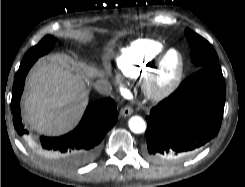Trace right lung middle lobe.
I'll return each instance as SVG.
<instances>
[{
    "label": "right lung middle lobe",
    "mask_w": 245,
    "mask_h": 187,
    "mask_svg": "<svg viewBox=\"0 0 245 187\" xmlns=\"http://www.w3.org/2000/svg\"><path fill=\"white\" fill-rule=\"evenodd\" d=\"M54 42L55 39L52 36L48 35L44 37L36 46L32 47L27 51L23 59L30 57H40L48 53Z\"/></svg>",
    "instance_id": "obj_1"
}]
</instances>
